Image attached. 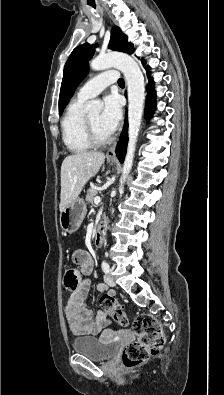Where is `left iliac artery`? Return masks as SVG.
<instances>
[{
  "label": "left iliac artery",
  "mask_w": 224,
  "mask_h": 395,
  "mask_svg": "<svg viewBox=\"0 0 224 395\" xmlns=\"http://www.w3.org/2000/svg\"><path fill=\"white\" fill-rule=\"evenodd\" d=\"M102 270H103L105 273H109V271H110V266H109V264H108L106 261H103V262H102Z\"/></svg>",
  "instance_id": "44dca946"
}]
</instances>
